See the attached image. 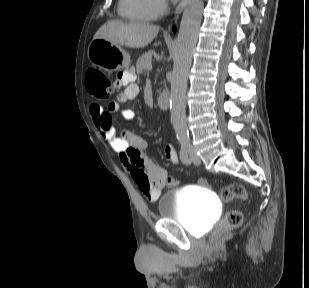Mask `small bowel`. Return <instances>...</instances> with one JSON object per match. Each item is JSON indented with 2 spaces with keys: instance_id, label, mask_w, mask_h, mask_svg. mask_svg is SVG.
<instances>
[{
  "instance_id": "small-bowel-1",
  "label": "small bowel",
  "mask_w": 309,
  "mask_h": 288,
  "mask_svg": "<svg viewBox=\"0 0 309 288\" xmlns=\"http://www.w3.org/2000/svg\"><path fill=\"white\" fill-rule=\"evenodd\" d=\"M116 84L124 87L117 100L108 104L107 110L93 104L90 113L101 137L119 154L120 162L130 174L139 190L150 201H156L166 186L167 172L152 162L144 153L147 142L138 134L128 131H116L112 126V115L119 114L125 120H134L136 114L131 109H123L121 104L134 99L138 94V86L132 82L129 75L118 77ZM166 159L176 164L178 155L171 145L164 147Z\"/></svg>"
}]
</instances>
